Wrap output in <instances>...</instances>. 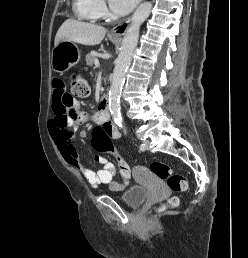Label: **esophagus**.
Listing matches in <instances>:
<instances>
[{"label":"esophagus","instance_id":"esophagus-1","mask_svg":"<svg viewBox=\"0 0 248 258\" xmlns=\"http://www.w3.org/2000/svg\"><path fill=\"white\" fill-rule=\"evenodd\" d=\"M142 1V0H141ZM131 17H128L124 22L121 24L113 27L111 29V34L116 35V36H122L126 33L129 25H130Z\"/></svg>","mask_w":248,"mask_h":258}]
</instances>
